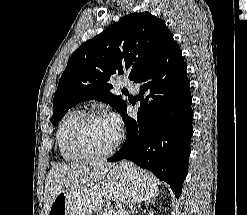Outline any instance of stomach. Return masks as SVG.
<instances>
[{
    "instance_id": "obj_1",
    "label": "stomach",
    "mask_w": 247,
    "mask_h": 215,
    "mask_svg": "<svg viewBox=\"0 0 247 215\" xmlns=\"http://www.w3.org/2000/svg\"><path fill=\"white\" fill-rule=\"evenodd\" d=\"M151 175L122 162L113 166L104 177L82 192H60L50 206L48 215H90L110 200L135 203L149 201L157 195Z\"/></svg>"
}]
</instances>
